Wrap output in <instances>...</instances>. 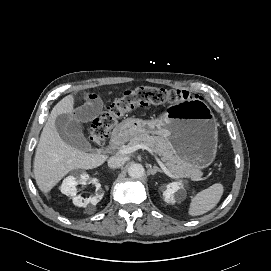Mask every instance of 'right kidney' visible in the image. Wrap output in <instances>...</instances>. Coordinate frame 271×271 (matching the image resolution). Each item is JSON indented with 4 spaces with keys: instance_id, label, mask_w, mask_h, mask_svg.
I'll return each mask as SVG.
<instances>
[{
    "instance_id": "ca27d5eb",
    "label": "right kidney",
    "mask_w": 271,
    "mask_h": 271,
    "mask_svg": "<svg viewBox=\"0 0 271 271\" xmlns=\"http://www.w3.org/2000/svg\"><path fill=\"white\" fill-rule=\"evenodd\" d=\"M90 181L88 175H81L80 179L75 176L66 177L61 185V192L67 196H71L73 199V204L78 207H86L88 204L96 205L103 197V191L100 186H97L95 196H90L89 198H83L81 196H76L78 184H87Z\"/></svg>"
}]
</instances>
